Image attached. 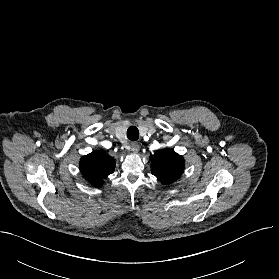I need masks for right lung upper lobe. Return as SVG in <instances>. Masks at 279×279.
I'll list each match as a JSON object with an SVG mask.
<instances>
[{
    "label": "right lung upper lobe",
    "mask_w": 279,
    "mask_h": 279,
    "mask_svg": "<svg viewBox=\"0 0 279 279\" xmlns=\"http://www.w3.org/2000/svg\"><path fill=\"white\" fill-rule=\"evenodd\" d=\"M115 161L103 151L92 152L80 160V170L93 186H101L103 179L113 173Z\"/></svg>",
    "instance_id": "obj_1"
}]
</instances>
